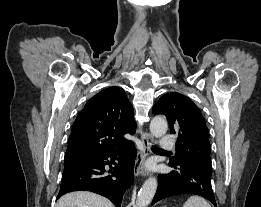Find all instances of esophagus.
<instances>
[{
	"label": "esophagus",
	"instance_id": "obj_1",
	"mask_svg": "<svg viewBox=\"0 0 261 207\" xmlns=\"http://www.w3.org/2000/svg\"><path fill=\"white\" fill-rule=\"evenodd\" d=\"M142 143H143V153L140 157H138L135 161L134 165V174L135 176H147L148 171L144 166V162L146 158L151 154V147L153 145V136L150 133H143L141 136Z\"/></svg>",
	"mask_w": 261,
	"mask_h": 207
}]
</instances>
